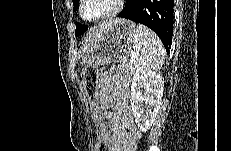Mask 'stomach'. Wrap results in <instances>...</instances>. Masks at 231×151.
Segmentation results:
<instances>
[{
    "mask_svg": "<svg viewBox=\"0 0 231 151\" xmlns=\"http://www.w3.org/2000/svg\"><path fill=\"white\" fill-rule=\"evenodd\" d=\"M134 31L135 24L129 20L112 23L85 52L81 64L94 68L125 60L132 52Z\"/></svg>",
    "mask_w": 231,
    "mask_h": 151,
    "instance_id": "0dacf381",
    "label": "stomach"
}]
</instances>
